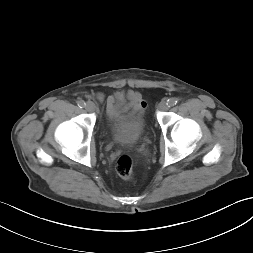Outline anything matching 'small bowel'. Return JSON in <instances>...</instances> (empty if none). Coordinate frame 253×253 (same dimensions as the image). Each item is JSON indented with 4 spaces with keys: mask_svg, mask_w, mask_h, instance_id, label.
Listing matches in <instances>:
<instances>
[{
    "mask_svg": "<svg viewBox=\"0 0 253 253\" xmlns=\"http://www.w3.org/2000/svg\"><path fill=\"white\" fill-rule=\"evenodd\" d=\"M97 98L100 101L106 100L107 114L111 119H119L129 107H132L136 113H141L146 107V103L140 94L135 91L127 93V102L114 96H109L105 99L103 94H98Z\"/></svg>",
    "mask_w": 253,
    "mask_h": 253,
    "instance_id": "small-bowel-1",
    "label": "small bowel"
}]
</instances>
